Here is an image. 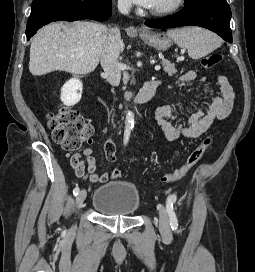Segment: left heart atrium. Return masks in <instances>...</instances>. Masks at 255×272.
Masks as SVG:
<instances>
[{"label":"left heart atrium","mask_w":255,"mask_h":272,"mask_svg":"<svg viewBox=\"0 0 255 272\" xmlns=\"http://www.w3.org/2000/svg\"><path fill=\"white\" fill-rule=\"evenodd\" d=\"M133 3L143 6L145 8H151L155 2V0H131Z\"/></svg>","instance_id":"obj_1"}]
</instances>
